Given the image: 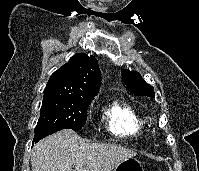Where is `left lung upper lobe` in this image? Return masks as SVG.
I'll return each mask as SVG.
<instances>
[{"label":"left lung upper lobe","mask_w":199,"mask_h":171,"mask_svg":"<svg viewBox=\"0 0 199 171\" xmlns=\"http://www.w3.org/2000/svg\"><path fill=\"white\" fill-rule=\"evenodd\" d=\"M123 80L128 87V89L136 94L141 96L154 97V88L147 84L139 73L136 71H122Z\"/></svg>","instance_id":"obj_1"}]
</instances>
